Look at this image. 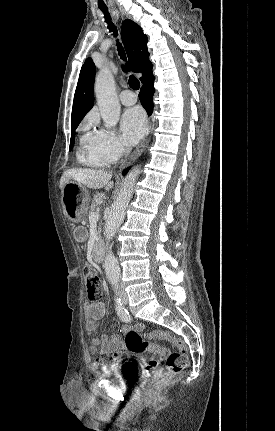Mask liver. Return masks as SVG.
<instances>
[{
    "label": "liver",
    "mask_w": 275,
    "mask_h": 431,
    "mask_svg": "<svg viewBox=\"0 0 275 431\" xmlns=\"http://www.w3.org/2000/svg\"><path fill=\"white\" fill-rule=\"evenodd\" d=\"M112 174L102 170H91V169H69L65 171L60 179V188L63 187L71 179L74 181L87 186L90 189H101L105 187L108 191L113 187L111 181Z\"/></svg>",
    "instance_id": "6515ba94"
}]
</instances>
